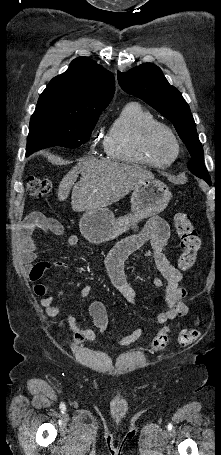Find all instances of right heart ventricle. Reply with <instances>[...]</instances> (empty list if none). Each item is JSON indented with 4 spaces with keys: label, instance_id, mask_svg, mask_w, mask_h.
<instances>
[{
    "label": "right heart ventricle",
    "instance_id": "right-heart-ventricle-1",
    "mask_svg": "<svg viewBox=\"0 0 221 455\" xmlns=\"http://www.w3.org/2000/svg\"><path fill=\"white\" fill-rule=\"evenodd\" d=\"M156 118L138 102L124 105L103 138L105 154L115 160L152 167L166 166L168 161L148 145L147 131Z\"/></svg>",
    "mask_w": 221,
    "mask_h": 455
}]
</instances>
